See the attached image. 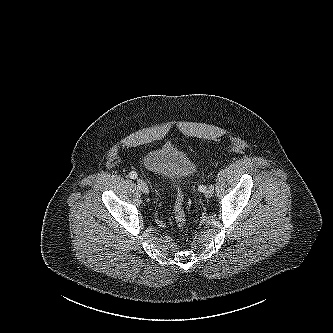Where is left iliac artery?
Masks as SVG:
<instances>
[{"mask_svg":"<svg viewBox=\"0 0 333 333\" xmlns=\"http://www.w3.org/2000/svg\"><path fill=\"white\" fill-rule=\"evenodd\" d=\"M209 187H212V188L214 189V187H213L212 185L209 186ZM198 190H199L200 192H204V191L206 190V186H204V185H199Z\"/></svg>","mask_w":333,"mask_h":333,"instance_id":"obj_1","label":"left iliac artery"}]
</instances>
